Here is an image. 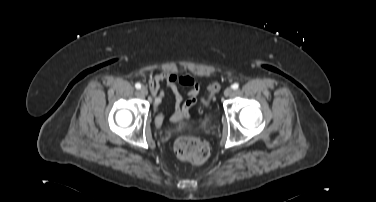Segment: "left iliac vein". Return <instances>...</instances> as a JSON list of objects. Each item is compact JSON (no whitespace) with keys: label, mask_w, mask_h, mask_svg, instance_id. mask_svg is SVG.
<instances>
[{"label":"left iliac vein","mask_w":376,"mask_h":202,"mask_svg":"<svg viewBox=\"0 0 376 202\" xmlns=\"http://www.w3.org/2000/svg\"><path fill=\"white\" fill-rule=\"evenodd\" d=\"M232 92H233V89H232L231 87H228V88H226V89L224 90V95H225L226 97H228V96H230V95L232 94Z\"/></svg>","instance_id":"1"}]
</instances>
